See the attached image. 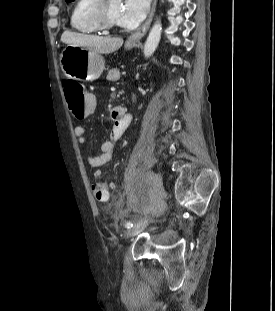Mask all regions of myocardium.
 Instances as JSON below:
<instances>
[{"label":"myocardium","instance_id":"myocardium-1","mask_svg":"<svg viewBox=\"0 0 275 311\" xmlns=\"http://www.w3.org/2000/svg\"><path fill=\"white\" fill-rule=\"evenodd\" d=\"M108 2L109 0H96L91 10L92 19L101 31H113L120 26L110 19Z\"/></svg>","mask_w":275,"mask_h":311}]
</instances>
